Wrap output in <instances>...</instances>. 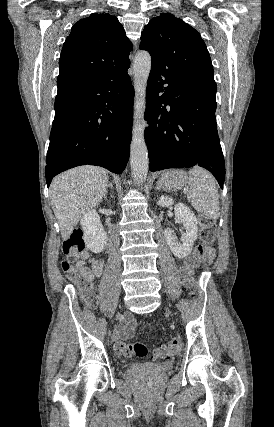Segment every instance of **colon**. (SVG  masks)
Returning a JSON list of instances; mask_svg holds the SVG:
<instances>
[{"label": "colon", "instance_id": "1", "mask_svg": "<svg viewBox=\"0 0 274 427\" xmlns=\"http://www.w3.org/2000/svg\"><path fill=\"white\" fill-rule=\"evenodd\" d=\"M216 226L213 220L207 217L201 218L200 241L196 244L193 252L188 256L184 267V275L191 286V296H196L193 276L196 267L201 262L205 263L207 254H213ZM89 242V235L83 229H76L69 234L64 242L63 252L65 259L62 262L63 271L75 280L89 281L84 277L81 265L77 262V256ZM90 286V285H89ZM117 352L128 358H145L149 353V346L146 342L126 343L117 341L115 344ZM180 341L177 337L171 338L164 346L153 351V357L159 359H171L179 351Z\"/></svg>", "mask_w": 274, "mask_h": 427}]
</instances>
